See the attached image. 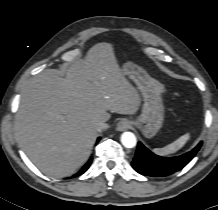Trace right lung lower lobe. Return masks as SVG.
Returning <instances> with one entry per match:
<instances>
[{
  "label": "right lung lower lobe",
  "instance_id": "right-lung-lower-lobe-1",
  "mask_svg": "<svg viewBox=\"0 0 218 210\" xmlns=\"http://www.w3.org/2000/svg\"><path fill=\"white\" fill-rule=\"evenodd\" d=\"M91 163H92V158H90V159L88 160V162L79 170V172H78L76 175H81V174H83L84 172H86L87 169L90 167ZM74 176H75V175H74Z\"/></svg>",
  "mask_w": 218,
  "mask_h": 210
}]
</instances>
